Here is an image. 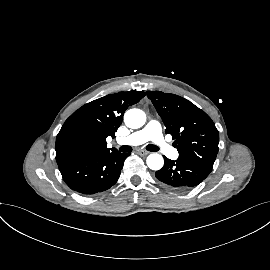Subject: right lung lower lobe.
<instances>
[{
    "label": "right lung lower lobe",
    "mask_w": 270,
    "mask_h": 270,
    "mask_svg": "<svg viewBox=\"0 0 270 270\" xmlns=\"http://www.w3.org/2000/svg\"><path fill=\"white\" fill-rule=\"evenodd\" d=\"M127 153L98 152L58 163L65 183L81 194H95L113 186L121 173Z\"/></svg>",
    "instance_id": "obj_1"
}]
</instances>
